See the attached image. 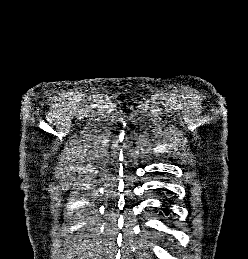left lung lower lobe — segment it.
<instances>
[{
	"mask_svg": "<svg viewBox=\"0 0 248 259\" xmlns=\"http://www.w3.org/2000/svg\"><path fill=\"white\" fill-rule=\"evenodd\" d=\"M164 212L168 213V209L164 208Z\"/></svg>",
	"mask_w": 248,
	"mask_h": 259,
	"instance_id": "left-lung-lower-lobe-1",
	"label": "left lung lower lobe"
}]
</instances>
